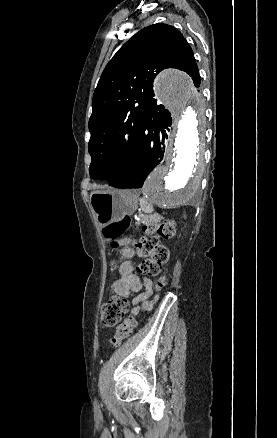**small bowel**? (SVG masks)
Returning a JSON list of instances; mask_svg holds the SVG:
<instances>
[{"label":"small bowel","mask_w":277,"mask_h":438,"mask_svg":"<svg viewBox=\"0 0 277 438\" xmlns=\"http://www.w3.org/2000/svg\"><path fill=\"white\" fill-rule=\"evenodd\" d=\"M132 253L128 254V258L124 260L119 268V278L114 282L113 289L116 294L120 296H128L132 292H140L143 288L145 293H140L133 301L135 305L143 302L144 308H150L151 302L146 301L148 294L151 291V281L148 279H141L134 273V262L131 260ZM138 312V307L132 311L133 314Z\"/></svg>","instance_id":"1"}]
</instances>
